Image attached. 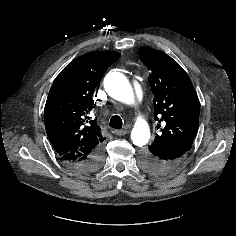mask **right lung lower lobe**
<instances>
[{
  "label": "right lung lower lobe",
  "instance_id": "1",
  "mask_svg": "<svg viewBox=\"0 0 236 236\" xmlns=\"http://www.w3.org/2000/svg\"><path fill=\"white\" fill-rule=\"evenodd\" d=\"M60 159L72 170L80 173H90L100 168L104 160V151L102 147L96 148L93 153L85 160H63Z\"/></svg>",
  "mask_w": 236,
  "mask_h": 236
}]
</instances>
